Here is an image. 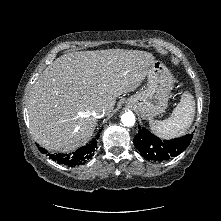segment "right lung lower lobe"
<instances>
[{
    "mask_svg": "<svg viewBox=\"0 0 221 221\" xmlns=\"http://www.w3.org/2000/svg\"><path fill=\"white\" fill-rule=\"evenodd\" d=\"M99 133L97 134L96 138H94L91 142H89L86 146H83L81 148H79L78 150H76L73 153L70 154H52L50 156V158H52L53 160H55L56 162H58L59 164H63L69 167H74L76 165H80V164H84L87 160H89L96 148H97V139L99 138ZM38 149L42 152V153H47V151L45 149H43L42 147L38 146Z\"/></svg>",
    "mask_w": 221,
    "mask_h": 221,
    "instance_id": "obj_1",
    "label": "right lung lower lobe"
}]
</instances>
